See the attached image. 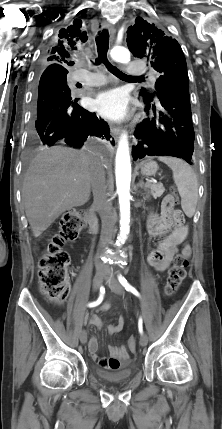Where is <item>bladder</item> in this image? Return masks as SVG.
<instances>
[{"mask_svg": "<svg viewBox=\"0 0 222 429\" xmlns=\"http://www.w3.org/2000/svg\"><path fill=\"white\" fill-rule=\"evenodd\" d=\"M134 368H135L134 364H132L127 368L120 369L115 372H108L100 368H95L94 373L102 381H105L108 383H123L128 381L132 377Z\"/></svg>", "mask_w": 222, "mask_h": 429, "instance_id": "obj_1", "label": "bladder"}]
</instances>
